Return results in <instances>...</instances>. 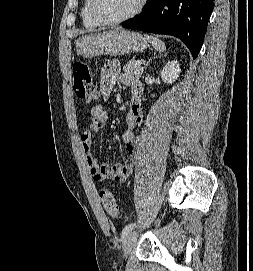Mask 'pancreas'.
Returning <instances> with one entry per match:
<instances>
[{
	"label": "pancreas",
	"mask_w": 253,
	"mask_h": 271,
	"mask_svg": "<svg viewBox=\"0 0 253 271\" xmlns=\"http://www.w3.org/2000/svg\"><path fill=\"white\" fill-rule=\"evenodd\" d=\"M123 70L127 74L140 78L143 74L144 68L138 66L137 61L132 59L123 67Z\"/></svg>",
	"instance_id": "pancreas-1"
}]
</instances>
